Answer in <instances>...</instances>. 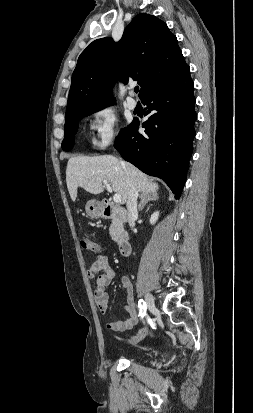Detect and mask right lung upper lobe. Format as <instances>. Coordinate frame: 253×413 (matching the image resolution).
<instances>
[{
	"label": "right lung upper lobe",
	"mask_w": 253,
	"mask_h": 413,
	"mask_svg": "<svg viewBox=\"0 0 253 413\" xmlns=\"http://www.w3.org/2000/svg\"><path fill=\"white\" fill-rule=\"evenodd\" d=\"M188 67L166 23L153 15L139 14L118 43L101 38L81 53L72 75L65 121L114 104L111 87L117 80L124 84L137 80L142 99L176 80Z\"/></svg>",
	"instance_id": "cb5924a9"
}]
</instances>
